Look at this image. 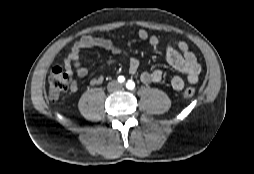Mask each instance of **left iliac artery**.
<instances>
[{"label": "left iliac artery", "mask_w": 254, "mask_h": 174, "mask_svg": "<svg viewBox=\"0 0 254 174\" xmlns=\"http://www.w3.org/2000/svg\"><path fill=\"white\" fill-rule=\"evenodd\" d=\"M126 87L130 90H133L135 88V83L132 80H128V82L126 83Z\"/></svg>", "instance_id": "obj_1"}]
</instances>
